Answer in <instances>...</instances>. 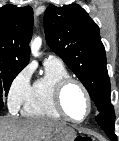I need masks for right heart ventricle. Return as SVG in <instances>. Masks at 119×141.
Segmentation results:
<instances>
[{
	"instance_id": "e07e8e85",
	"label": "right heart ventricle",
	"mask_w": 119,
	"mask_h": 141,
	"mask_svg": "<svg viewBox=\"0 0 119 141\" xmlns=\"http://www.w3.org/2000/svg\"><path fill=\"white\" fill-rule=\"evenodd\" d=\"M66 77H70V74L62 62L45 61V73L32 84L23 105V114L28 117L60 120L62 117L55 109L53 91L56 83Z\"/></svg>"
}]
</instances>
